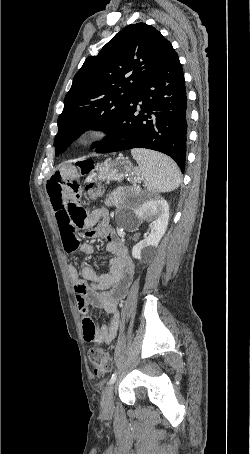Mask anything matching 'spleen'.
Returning <instances> with one entry per match:
<instances>
[{"label":"spleen","instance_id":"3e777b00","mask_svg":"<svg viewBox=\"0 0 250 454\" xmlns=\"http://www.w3.org/2000/svg\"><path fill=\"white\" fill-rule=\"evenodd\" d=\"M131 154L152 193L170 192L180 185V171L168 156L146 149H133Z\"/></svg>","mask_w":250,"mask_h":454}]
</instances>
